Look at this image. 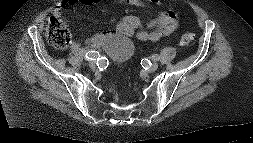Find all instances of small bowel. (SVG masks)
Wrapping results in <instances>:
<instances>
[{"label":"small bowel","mask_w":253,"mask_h":143,"mask_svg":"<svg viewBox=\"0 0 253 143\" xmlns=\"http://www.w3.org/2000/svg\"><path fill=\"white\" fill-rule=\"evenodd\" d=\"M119 3H128L134 6H145L146 2L159 3L160 0H116ZM100 0H62L55 8L54 14L58 16L62 8L74 3H83L93 5ZM179 26L176 14L171 10L162 11L159 16L144 24L138 17L129 15L125 16L114 30L96 33L86 38V45L93 48H110L117 37L136 36L141 41H157L163 36L169 35ZM124 55V57H126Z\"/></svg>","instance_id":"small-bowel-1"}]
</instances>
